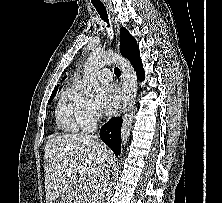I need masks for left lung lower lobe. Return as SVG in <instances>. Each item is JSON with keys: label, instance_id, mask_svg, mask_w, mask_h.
Instances as JSON below:
<instances>
[{"label": "left lung lower lobe", "instance_id": "1", "mask_svg": "<svg viewBox=\"0 0 222 203\" xmlns=\"http://www.w3.org/2000/svg\"><path fill=\"white\" fill-rule=\"evenodd\" d=\"M128 60L131 62V64L135 68L138 79L140 81H143L145 73H144L142 62H141L139 49L130 58H128Z\"/></svg>", "mask_w": 222, "mask_h": 203}]
</instances>
